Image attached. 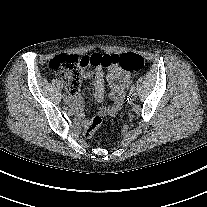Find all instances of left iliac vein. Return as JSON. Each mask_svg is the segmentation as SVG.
Listing matches in <instances>:
<instances>
[{
    "instance_id": "1",
    "label": "left iliac vein",
    "mask_w": 207,
    "mask_h": 207,
    "mask_svg": "<svg viewBox=\"0 0 207 207\" xmlns=\"http://www.w3.org/2000/svg\"><path fill=\"white\" fill-rule=\"evenodd\" d=\"M137 97V93L135 92L134 94H131V98L135 99Z\"/></svg>"
}]
</instances>
